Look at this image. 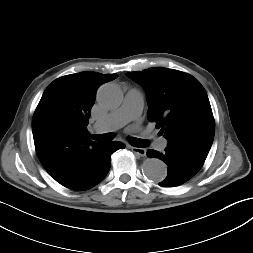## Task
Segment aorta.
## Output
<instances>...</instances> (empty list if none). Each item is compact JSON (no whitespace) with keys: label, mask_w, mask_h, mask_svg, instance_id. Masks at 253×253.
Returning a JSON list of instances; mask_svg holds the SVG:
<instances>
[{"label":"aorta","mask_w":253,"mask_h":253,"mask_svg":"<svg viewBox=\"0 0 253 253\" xmlns=\"http://www.w3.org/2000/svg\"><path fill=\"white\" fill-rule=\"evenodd\" d=\"M123 94L120 88L111 83L102 85L97 93L99 105L105 109H114L121 105ZM143 174L153 182H161L166 178L167 166L158 158H148L142 164Z\"/></svg>","instance_id":"obj_1"}]
</instances>
